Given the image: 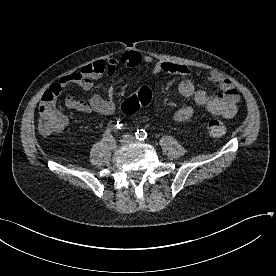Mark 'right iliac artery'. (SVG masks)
I'll use <instances>...</instances> for the list:
<instances>
[{"mask_svg": "<svg viewBox=\"0 0 276 276\" xmlns=\"http://www.w3.org/2000/svg\"><path fill=\"white\" fill-rule=\"evenodd\" d=\"M114 128L115 129H122V128H125V127H123L122 123H120L119 121H117V124L114 125ZM110 132H111V129L108 128L106 130V132L104 133V135H103L104 141H106L108 143L114 140V138H113V136L111 135Z\"/></svg>", "mask_w": 276, "mask_h": 276, "instance_id": "1", "label": "right iliac artery"}]
</instances>
